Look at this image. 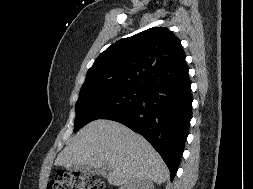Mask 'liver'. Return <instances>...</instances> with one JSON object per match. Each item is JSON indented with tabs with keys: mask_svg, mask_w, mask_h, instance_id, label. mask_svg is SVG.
I'll return each mask as SVG.
<instances>
[{
	"mask_svg": "<svg viewBox=\"0 0 253 189\" xmlns=\"http://www.w3.org/2000/svg\"><path fill=\"white\" fill-rule=\"evenodd\" d=\"M54 164L89 165L108 171L107 179L113 186L134 179L162 184L169 176L164 161L145 138L118 122L105 119L84 126Z\"/></svg>",
	"mask_w": 253,
	"mask_h": 189,
	"instance_id": "1",
	"label": "liver"
}]
</instances>
